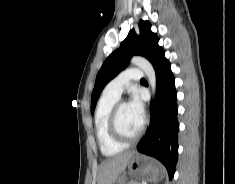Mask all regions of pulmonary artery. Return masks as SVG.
<instances>
[{"label": "pulmonary artery", "instance_id": "1", "mask_svg": "<svg viewBox=\"0 0 235 184\" xmlns=\"http://www.w3.org/2000/svg\"><path fill=\"white\" fill-rule=\"evenodd\" d=\"M142 69H127L112 79L104 88L103 94L118 99L132 79H138Z\"/></svg>", "mask_w": 235, "mask_h": 184}]
</instances>
